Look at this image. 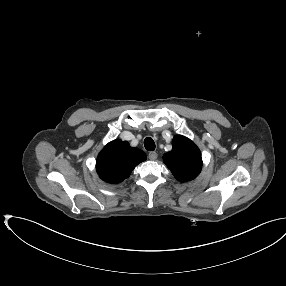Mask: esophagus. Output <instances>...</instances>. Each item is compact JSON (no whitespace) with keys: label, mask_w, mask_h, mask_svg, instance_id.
Returning a JSON list of instances; mask_svg holds the SVG:
<instances>
[{"label":"esophagus","mask_w":286,"mask_h":286,"mask_svg":"<svg viewBox=\"0 0 286 286\" xmlns=\"http://www.w3.org/2000/svg\"><path fill=\"white\" fill-rule=\"evenodd\" d=\"M157 157H158V155H157L156 152H150V153L148 154V158H149L150 160H156Z\"/></svg>","instance_id":"1"}]
</instances>
